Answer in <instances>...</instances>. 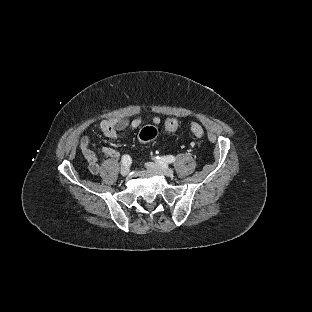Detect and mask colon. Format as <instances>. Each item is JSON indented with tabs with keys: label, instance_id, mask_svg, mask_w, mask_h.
I'll use <instances>...</instances> for the list:
<instances>
[{
	"label": "colon",
	"instance_id": "colon-1",
	"mask_svg": "<svg viewBox=\"0 0 312 312\" xmlns=\"http://www.w3.org/2000/svg\"><path fill=\"white\" fill-rule=\"evenodd\" d=\"M165 126L167 131L172 132L176 128L177 123L175 120L169 119L166 121ZM191 130L197 136H201L205 132L204 127L199 123L193 124ZM157 133H158L157 129L154 126H147L140 130V132L137 135V138L140 141H152L156 138Z\"/></svg>",
	"mask_w": 312,
	"mask_h": 312
}]
</instances>
